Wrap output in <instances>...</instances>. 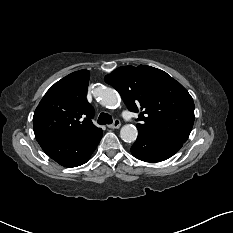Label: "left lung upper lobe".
<instances>
[{
	"label": "left lung upper lobe",
	"instance_id": "1",
	"mask_svg": "<svg viewBox=\"0 0 233 233\" xmlns=\"http://www.w3.org/2000/svg\"><path fill=\"white\" fill-rule=\"evenodd\" d=\"M128 109L139 112L138 132L184 143L194 123L188 91L166 72L146 65L123 66L105 76Z\"/></svg>",
	"mask_w": 233,
	"mask_h": 233
}]
</instances>
